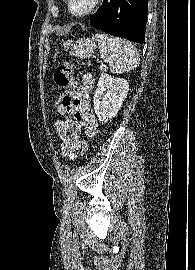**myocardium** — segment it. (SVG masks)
Wrapping results in <instances>:
<instances>
[{
    "instance_id": "obj_1",
    "label": "myocardium",
    "mask_w": 195,
    "mask_h": 270,
    "mask_svg": "<svg viewBox=\"0 0 195 270\" xmlns=\"http://www.w3.org/2000/svg\"><path fill=\"white\" fill-rule=\"evenodd\" d=\"M100 2H101V0H94L91 7L87 11H85L83 13H75V12L72 11V9H71V0H66V6H67L68 12L73 17L83 18V17L89 16L90 14H92L99 7Z\"/></svg>"
}]
</instances>
